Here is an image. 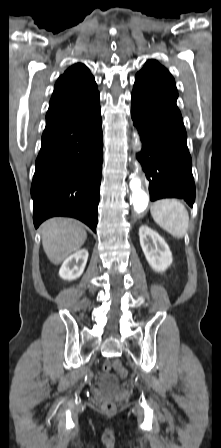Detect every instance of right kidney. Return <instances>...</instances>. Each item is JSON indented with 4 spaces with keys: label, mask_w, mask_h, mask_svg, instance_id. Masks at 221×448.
Segmentation results:
<instances>
[{
    "label": "right kidney",
    "mask_w": 221,
    "mask_h": 448,
    "mask_svg": "<svg viewBox=\"0 0 221 448\" xmlns=\"http://www.w3.org/2000/svg\"><path fill=\"white\" fill-rule=\"evenodd\" d=\"M88 251L81 249L70 255L62 264L59 275L64 280H74L79 278L86 266Z\"/></svg>",
    "instance_id": "ca27d5eb"
}]
</instances>
